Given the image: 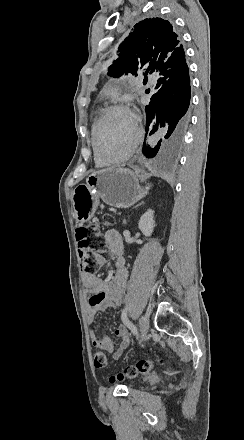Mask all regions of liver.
<instances>
[{"instance_id": "6515ba94", "label": "liver", "mask_w": 244, "mask_h": 440, "mask_svg": "<svg viewBox=\"0 0 244 440\" xmlns=\"http://www.w3.org/2000/svg\"><path fill=\"white\" fill-rule=\"evenodd\" d=\"M110 170V168H108ZM100 172H106V170H99V172H94V174H100Z\"/></svg>"}]
</instances>
